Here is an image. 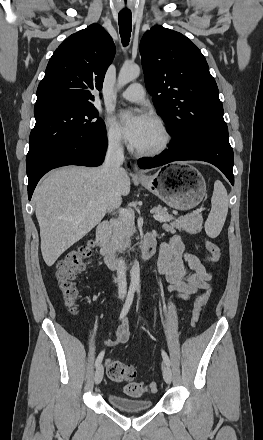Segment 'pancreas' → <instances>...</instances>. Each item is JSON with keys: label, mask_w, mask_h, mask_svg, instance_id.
<instances>
[{"label": "pancreas", "mask_w": 263, "mask_h": 440, "mask_svg": "<svg viewBox=\"0 0 263 440\" xmlns=\"http://www.w3.org/2000/svg\"><path fill=\"white\" fill-rule=\"evenodd\" d=\"M156 214L162 216H168L174 219L171 215L168 214L166 209L161 206H157L154 208ZM203 224V217L200 213L195 212L193 214H188L182 217H179L173 222L169 224L167 222H163L162 228L168 232H174L175 229L179 231H186L190 234H196L201 231ZM135 232L134 223L132 219L119 218L114 221L112 233L110 235V243L111 246L115 249L119 250L124 247L129 246L130 237ZM123 239H126L125 242Z\"/></svg>", "instance_id": "pancreas-1"}]
</instances>
